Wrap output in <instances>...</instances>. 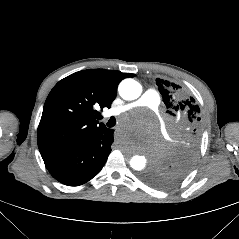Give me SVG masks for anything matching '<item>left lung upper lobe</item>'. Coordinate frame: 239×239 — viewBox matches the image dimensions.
Instances as JSON below:
<instances>
[{
  "label": "left lung upper lobe",
  "mask_w": 239,
  "mask_h": 239,
  "mask_svg": "<svg viewBox=\"0 0 239 239\" xmlns=\"http://www.w3.org/2000/svg\"><path fill=\"white\" fill-rule=\"evenodd\" d=\"M156 84L166 105L171 134L164 157L143 175L148 184L168 188L178 183L192 168L200 146V108L178 84L157 78Z\"/></svg>",
  "instance_id": "1"
}]
</instances>
